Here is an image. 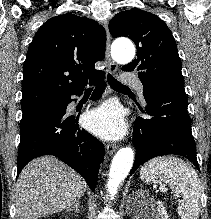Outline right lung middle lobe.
<instances>
[{
    "label": "right lung middle lobe",
    "instance_id": "1",
    "mask_svg": "<svg viewBox=\"0 0 211 219\" xmlns=\"http://www.w3.org/2000/svg\"><path fill=\"white\" fill-rule=\"evenodd\" d=\"M58 101V100H57ZM56 101H46V102H38L32 104L21 105L23 115H27L31 112L39 110L41 108L50 106L54 104Z\"/></svg>",
    "mask_w": 211,
    "mask_h": 219
}]
</instances>
